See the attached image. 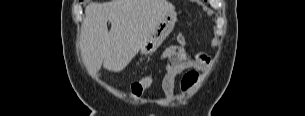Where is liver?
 I'll return each instance as SVG.
<instances>
[{"instance_id": "obj_1", "label": "liver", "mask_w": 305, "mask_h": 116, "mask_svg": "<svg viewBox=\"0 0 305 116\" xmlns=\"http://www.w3.org/2000/svg\"><path fill=\"white\" fill-rule=\"evenodd\" d=\"M175 10L168 0L90 2L80 37L83 63L90 74L103 67L126 68L154 31L159 20ZM111 22L108 31L107 22Z\"/></svg>"}]
</instances>
